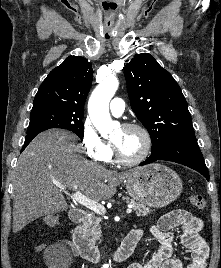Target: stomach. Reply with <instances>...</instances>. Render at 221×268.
I'll return each mask as SVG.
<instances>
[{
	"label": "stomach",
	"mask_w": 221,
	"mask_h": 268,
	"mask_svg": "<svg viewBox=\"0 0 221 268\" xmlns=\"http://www.w3.org/2000/svg\"><path fill=\"white\" fill-rule=\"evenodd\" d=\"M126 189L139 203L161 208L175 201L183 187L175 171L154 163L135 169L126 180Z\"/></svg>",
	"instance_id": "1"
}]
</instances>
